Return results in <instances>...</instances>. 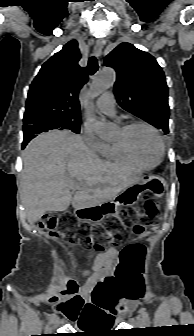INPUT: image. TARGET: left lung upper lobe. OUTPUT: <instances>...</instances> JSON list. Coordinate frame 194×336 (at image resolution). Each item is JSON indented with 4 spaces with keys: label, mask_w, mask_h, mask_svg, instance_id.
<instances>
[{
    "label": "left lung upper lobe",
    "mask_w": 194,
    "mask_h": 336,
    "mask_svg": "<svg viewBox=\"0 0 194 336\" xmlns=\"http://www.w3.org/2000/svg\"><path fill=\"white\" fill-rule=\"evenodd\" d=\"M104 62L116 70L114 94L118 104L168 133V87L156 59L124 42L110 52Z\"/></svg>",
    "instance_id": "5c2ea615"
}]
</instances>
